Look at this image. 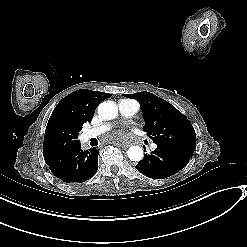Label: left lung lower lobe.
<instances>
[{
  "label": "left lung lower lobe",
  "instance_id": "1",
  "mask_svg": "<svg viewBox=\"0 0 247 247\" xmlns=\"http://www.w3.org/2000/svg\"><path fill=\"white\" fill-rule=\"evenodd\" d=\"M192 154L175 147L157 146L152 154L135 166L142 174L153 179H164L176 174L189 162Z\"/></svg>",
  "mask_w": 247,
  "mask_h": 247
}]
</instances>
